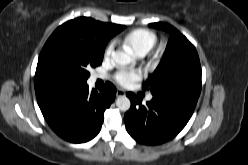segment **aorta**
I'll return each mask as SVG.
<instances>
[{
	"instance_id": "aorta-1",
	"label": "aorta",
	"mask_w": 248,
	"mask_h": 165,
	"mask_svg": "<svg viewBox=\"0 0 248 165\" xmlns=\"http://www.w3.org/2000/svg\"><path fill=\"white\" fill-rule=\"evenodd\" d=\"M112 60L118 65H127L132 58L128 53L118 50L112 53ZM116 106L119 110L126 112L130 109L131 102L128 97L120 96L116 100Z\"/></svg>"
}]
</instances>
